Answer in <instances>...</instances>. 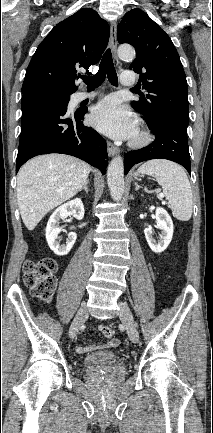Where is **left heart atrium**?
<instances>
[{"label":"left heart atrium","mask_w":213,"mask_h":433,"mask_svg":"<svg viewBox=\"0 0 213 433\" xmlns=\"http://www.w3.org/2000/svg\"><path fill=\"white\" fill-rule=\"evenodd\" d=\"M91 124L100 132L115 138L127 139L134 135V116L115 97H107L98 103L90 115Z\"/></svg>","instance_id":"39dd6f15"}]
</instances>
